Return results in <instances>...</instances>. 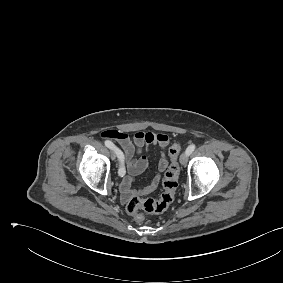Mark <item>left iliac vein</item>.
Returning a JSON list of instances; mask_svg holds the SVG:
<instances>
[{
	"label": "left iliac vein",
	"instance_id": "1",
	"mask_svg": "<svg viewBox=\"0 0 283 283\" xmlns=\"http://www.w3.org/2000/svg\"><path fill=\"white\" fill-rule=\"evenodd\" d=\"M188 159V154L186 152L182 153L180 156V163L186 165Z\"/></svg>",
	"mask_w": 283,
	"mask_h": 283
}]
</instances>
